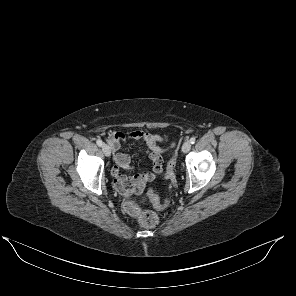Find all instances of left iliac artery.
<instances>
[{"label": "left iliac artery", "instance_id": "44dca946", "mask_svg": "<svg viewBox=\"0 0 296 296\" xmlns=\"http://www.w3.org/2000/svg\"><path fill=\"white\" fill-rule=\"evenodd\" d=\"M195 141H196V138H195V137H192V138L190 139V143H191V144H194Z\"/></svg>", "mask_w": 296, "mask_h": 296}]
</instances>
